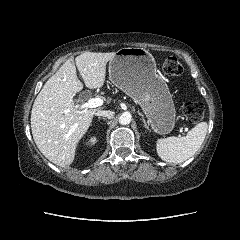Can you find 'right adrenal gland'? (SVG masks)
<instances>
[{
	"mask_svg": "<svg viewBox=\"0 0 240 240\" xmlns=\"http://www.w3.org/2000/svg\"><path fill=\"white\" fill-rule=\"evenodd\" d=\"M100 119H103V120H105V118H101V117H99V120H100Z\"/></svg>",
	"mask_w": 240,
	"mask_h": 240,
	"instance_id": "2a0ac1e0",
	"label": "right adrenal gland"
}]
</instances>
